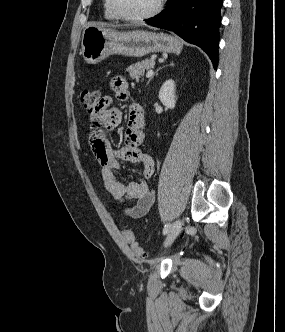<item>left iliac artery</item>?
Listing matches in <instances>:
<instances>
[{
    "label": "left iliac artery",
    "instance_id": "left-iliac-artery-1",
    "mask_svg": "<svg viewBox=\"0 0 285 332\" xmlns=\"http://www.w3.org/2000/svg\"><path fill=\"white\" fill-rule=\"evenodd\" d=\"M169 230H170V224H166V225L164 226V229H163V234H164V235L167 234V233L169 232Z\"/></svg>",
    "mask_w": 285,
    "mask_h": 332
}]
</instances>
